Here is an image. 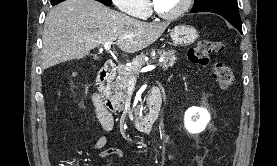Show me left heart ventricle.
<instances>
[{"label": "left heart ventricle", "instance_id": "b2bd125f", "mask_svg": "<svg viewBox=\"0 0 277 166\" xmlns=\"http://www.w3.org/2000/svg\"><path fill=\"white\" fill-rule=\"evenodd\" d=\"M158 9L164 13H173L177 11L184 0H153Z\"/></svg>", "mask_w": 277, "mask_h": 166}]
</instances>
